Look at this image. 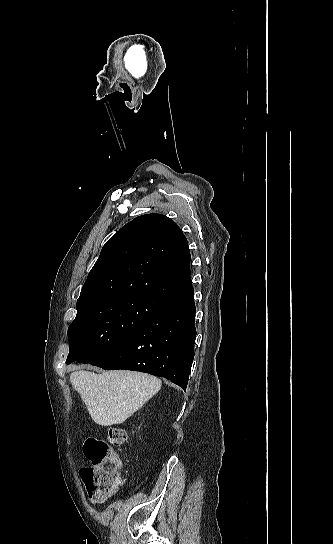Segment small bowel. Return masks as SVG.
Segmentation results:
<instances>
[{"mask_svg": "<svg viewBox=\"0 0 333 544\" xmlns=\"http://www.w3.org/2000/svg\"><path fill=\"white\" fill-rule=\"evenodd\" d=\"M121 483L110 490H96L89 492V502L92 505H100L105 503L108 499L113 497L119 491Z\"/></svg>", "mask_w": 333, "mask_h": 544, "instance_id": "c3829d8e", "label": "small bowel"}]
</instances>
